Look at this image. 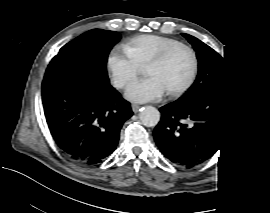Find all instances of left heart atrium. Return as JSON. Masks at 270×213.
<instances>
[{"label": "left heart atrium", "instance_id": "39dd6f15", "mask_svg": "<svg viewBox=\"0 0 270 213\" xmlns=\"http://www.w3.org/2000/svg\"><path fill=\"white\" fill-rule=\"evenodd\" d=\"M163 86L158 78L150 77L133 84L126 92L127 98L135 101H153L163 94Z\"/></svg>", "mask_w": 270, "mask_h": 213}]
</instances>
